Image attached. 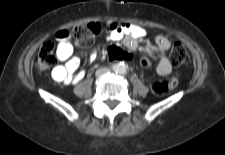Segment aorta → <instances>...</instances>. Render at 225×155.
<instances>
[{"label":"aorta","instance_id":"aorta-1","mask_svg":"<svg viewBox=\"0 0 225 155\" xmlns=\"http://www.w3.org/2000/svg\"><path fill=\"white\" fill-rule=\"evenodd\" d=\"M115 71L118 74H124L127 71V67L124 63H119L115 66Z\"/></svg>","mask_w":225,"mask_h":155}]
</instances>
